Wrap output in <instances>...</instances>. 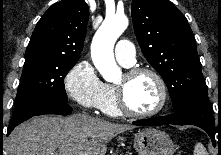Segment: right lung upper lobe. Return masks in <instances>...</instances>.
<instances>
[{"label":"right lung upper lobe","instance_id":"1","mask_svg":"<svg viewBox=\"0 0 221 155\" xmlns=\"http://www.w3.org/2000/svg\"><path fill=\"white\" fill-rule=\"evenodd\" d=\"M88 18V5L84 0H62L53 4L38 21L25 58L78 61Z\"/></svg>","mask_w":221,"mask_h":155}]
</instances>
